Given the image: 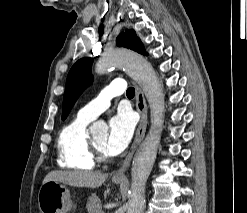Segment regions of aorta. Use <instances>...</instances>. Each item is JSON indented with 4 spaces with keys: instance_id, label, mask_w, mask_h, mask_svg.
I'll list each match as a JSON object with an SVG mask.
<instances>
[{
    "instance_id": "aorta-1",
    "label": "aorta",
    "mask_w": 247,
    "mask_h": 213,
    "mask_svg": "<svg viewBox=\"0 0 247 213\" xmlns=\"http://www.w3.org/2000/svg\"><path fill=\"white\" fill-rule=\"evenodd\" d=\"M112 67L124 68L137 81L150 106L151 128L133 159L131 199L127 206V213H143L145 185L155 162L164 122L163 89L151 64L141 55L131 50L114 49L105 52L96 64V73L104 74ZM106 128L105 123L95 122L90 127V131L95 134Z\"/></svg>"
}]
</instances>
